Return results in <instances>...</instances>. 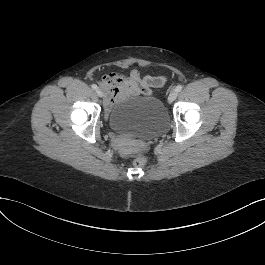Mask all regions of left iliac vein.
<instances>
[{"mask_svg":"<svg viewBox=\"0 0 265 265\" xmlns=\"http://www.w3.org/2000/svg\"><path fill=\"white\" fill-rule=\"evenodd\" d=\"M178 92L176 90H173L170 92L168 96V102L172 103L177 98Z\"/></svg>","mask_w":265,"mask_h":265,"instance_id":"obj_1","label":"left iliac vein"}]
</instances>
